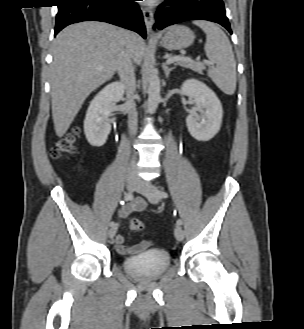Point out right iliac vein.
Listing matches in <instances>:
<instances>
[{
    "instance_id": "right-iliac-vein-1",
    "label": "right iliac vein",
    "mask_w": 304,
    "mask_h": 329,
    "mask_svg": "<svg viewBox=\"0 0 304 329\" xmlns=\"http://www.w3.org/2000/svg\"><path fill=\"white\" fill-rule=\"evenodd\" d=\"M138 186V180L135 177H128L126 179V187L127 190L132 192L134 191ZM117 228L118 226L115 224L114 226H112L109 231H108V236L109 238H113L117 232Z\"/></svg>"
}]
</instances>
